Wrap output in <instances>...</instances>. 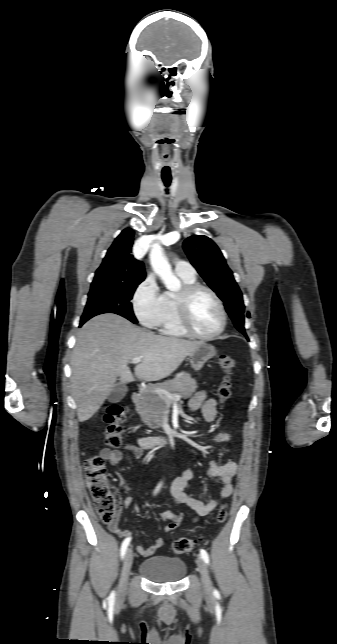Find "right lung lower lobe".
I'll return each mask as SVG.
<instances>
[{"label": "right lung lower lobe", "mask_w": 337, "mask_h": 644, "mask_svg": "<svg viewBox=\"0 0 337 644\" xmlns=\"http://www.w3.org/2000/svg\"><path fill=\"white\" fill-rule=\"evenodd\" d=\"M84 323H85V322H84ZM84 323H83V322H80V326H82Z\"/></svg>", "instance_id": "obj_1"}]
</instances>
